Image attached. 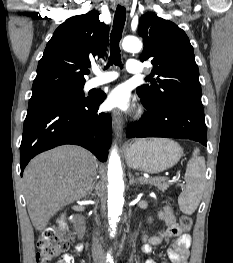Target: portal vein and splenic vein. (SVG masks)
I'll return each mask as SVG.
<instances>
[{
  "label": "portal vein and splenic vein",
  "instance_id": "18ae733b",
  "mask_svg": "<svg viewBox=\"0 0 233 263\" xmlns=\"http://www.w3.org/2000/svg\"><path fill=\"white\" fill-rule=\"evenodd\" d=\"M142 181H145V180H149L148 178H140ZM155 179V178H154ZM156 179H162V180H164V178L163 177H159V178H156Z\"/></svg>",
  "mask_w": 233,
  "mask_h": 263
}]
</instances>
